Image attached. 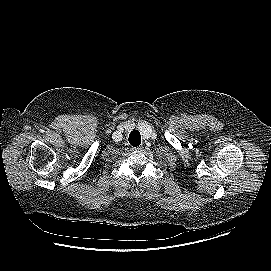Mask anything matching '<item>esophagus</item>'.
Here are the masks:
<instances>
[{
    "label": "esophagus",
    "instance_id": "esophagus-1",
    "mask_svg": "<svg viewBox=\"0 0 271 271\" xmlns=\"http://www.w3.org/2000/svg\"><path fill=\"white\" fill-rule=\"evenodd\" d=\"M132 150H133V151H136V152H137V151H138V152H139V151H142V150H143V146H139V147H137V148H132Z\"/></svg>",
    "mask_w": 271,
    "mask_h": 271
}]
</instances>
